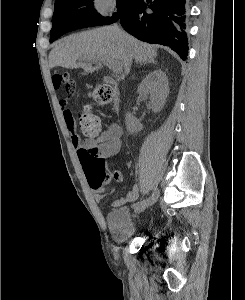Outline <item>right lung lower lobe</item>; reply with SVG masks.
Segmentation results:
<instances>
[{
  "instance_id": "obj_1",
  "label": "right lung lower lobe",
  "mask_w": 245,
  "mask_h": 300,
  "mask_svg": "<svg viewBox=\"0 0 245 300\" xmlns=\"http://www.w3.org/2000/svg\"><path fill=\"white\" fill-rule=\"evenodd\" d=\"M186 19L185 0H137L119 21L122 27L136 38L169 46L186 60ZM55 28L59 38L69 31L84 27L78 22L60 19Z\"/></svg>"
}]
</instances>
